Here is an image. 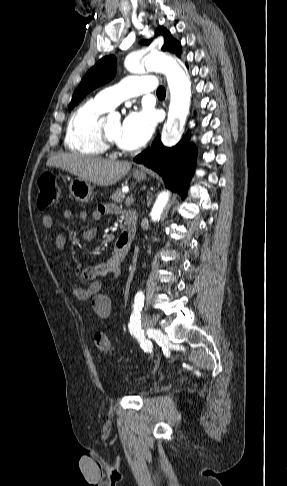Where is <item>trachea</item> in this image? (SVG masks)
Instances as JSON below:
<instances>
[{
    "mask_svg": "<svg viewBox=\"0 0 287 486\" xmlns=\"http://www.w3.org/2000/svg\"><path fill=\"white\" fill-rule=\"evenodd\" d=\"M157 95L158 96H165L166 95V90L163 86H160L158 89H157Z\"/></svg>",
    "mask_w": 287,
    "mask_h": 486,
    "instance_id": "3493384b",
    "label": "trachea"
}]
</instances>
